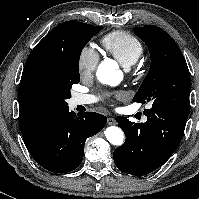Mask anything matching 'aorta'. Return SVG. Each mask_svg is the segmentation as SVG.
Instances as JSON below:
<instances>
[{
	"label": "aorta",
	"mask_w": 199,
	"mask_h": 199,
	"mask_svg": "<svg viewBox=\"0 0 199 199\" xmlns=\"http://www.w3.org/2000/svg\"><path fill=\"white\" fill-rule=\"evenodd\" d=\"M97 77L101 83L117 85L122 79V72L115 65L102 63L97 71ZM107 140L116 146H120L124 142L123 131L116 126H110L105 130Z\"/></svg>",
	"instance_id": "762f6f07"
}]
</instances>
